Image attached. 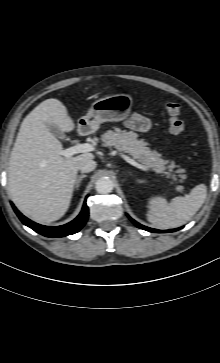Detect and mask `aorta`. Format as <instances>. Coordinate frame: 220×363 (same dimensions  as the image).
I'll return each mask as SVG.
<instances>
[{
    "mask_svg": "<svg viewBox=\"0 0 220 363\" xmlns=\"http://www.w3.org/2000/svg\"><path fill=\"white\" fill-rule=\"evenodd\" d=\"M95 189L99 194H108L113 190V182L109 177H101L96 181Z\"/></svg>",
    "mask_w": 220,
    "mask_h": 363,
    "instance_id": "762f6f07",
    "label": "aorta"
}]
</instances>
